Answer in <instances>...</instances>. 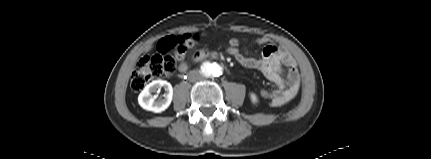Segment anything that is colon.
I'll return each mask as SVG.
<instances>
[{"label":"colon","mask_w":431,"mask_h":159,"mask_svg":"<svg viewBox=\"0 0 431 159\" xmlns=\"http://www.w3.org/2000/svg\"><path fill=\"white\" fill-rule=\"evenodd\" d=\"M193 42L194 37L191 35H171L162 39L156 52L145 55L136 64L131 75V88L134 91H140L152 80L173 74L177 67L174 54L182 56ZM242 53L243 49L239 46L237 48L231 47V50L225 55L240 56ZM267 95L266 90L260 91L262 98Z\"/></svg>","instance_id":"5ec220e1"}]
</instances>
